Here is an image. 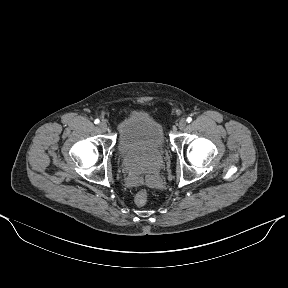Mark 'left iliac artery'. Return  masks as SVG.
Wrapping results in <instances>:
<instances>
[{"label": "left iliac artery", "instance_id": "left-iliac-artery-1", "mask_svg": "<svg viewBox=\"0 0 288 288\" xmlns=\"http://www.w3.org/2000/svg\"><path fill=\"white\" fill-rule=\"evenodd\" d=\"M186 121H187V123H190V122L192 121V118H191V117H188V118L186 119Z\"/></svg>", "mask_w": 288, "mask_h": 288}]
</instances>
